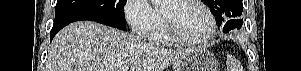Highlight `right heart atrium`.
I'll list each match as a JSON object with an SVG mask.
<instances>
[{
	"instance_id": "d8ad5b80",
	"label": "right heart atrium",
	"mask_w": 301,
	"mask_h": 71,
	"mask_svg": "<svg viewBox=\"0 0 301 71\" xmlns=\"http://www.w3.org/2000/svg\"><path fill=\"white\" fill-rule=\"evenodd\" d=\"M125 17L133 33L149 38L161 22V16L147 0H128Z\"/></svg>"
}]
</instances>
